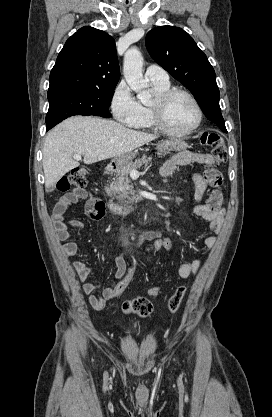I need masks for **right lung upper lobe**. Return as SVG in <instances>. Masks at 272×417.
<instances>
[{
  "instance_id": "obj_1",
  "label": "right lung upper lobe",
  "mask_w": 272,
  "mask_h": 417,
  "mask_svg": "<svg viewBox=\"0 0 272 417\" xmlns=\"http://www.w3.org/2000/svg\"><path fill=\"white\" fill-rule=\"evenodd\" d=\"M120 77L114 39L93 27H82L66 41L50 73L48 92L105 90Z\"/></svg>"
}]
</instances>
